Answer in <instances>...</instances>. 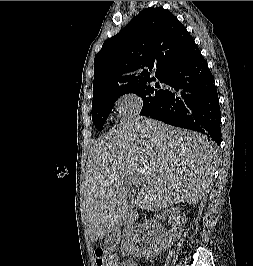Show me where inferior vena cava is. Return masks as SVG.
Masks as SVG:
<instances>
[{
	"label": "inferior vena cava",
	"instance_id": "inferior-vena-cava-1",
	"mask_svg": "<svg viewBox=\"0 0 253 266\" xmlns=\"http://www.w3.org/2000/svg\"><path fill=\"white\" fill-rule=\"evenodd\" d=\"M127 221H128V224H130L131 223V215H127ZM130 231L132 232L133 231V229H132V227L130 228Z\"/></svg>",
	"mask_w": 253,
	"mask_h": 266
}]
</instances>
